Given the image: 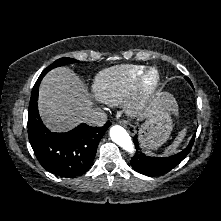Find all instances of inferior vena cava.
Listing matches in <instances>:
<instances>
[{
	"instance_id": "1",
	"label": "inferior vena cava",
	"mask_w": 221,
	"mask_h": 221,
	"mask_svg": "<svg viewBox=\"0 0 221 221\" xmlns=\"http://www.w3.org/2000/svg\"><path fill=\"white\" fill-rule=\"evenodd\" d=\"M106 114L99 109H92L88 113L84 114L82 121L93 126H103L106 123Z\"/></svg>"
}]
</instances>
